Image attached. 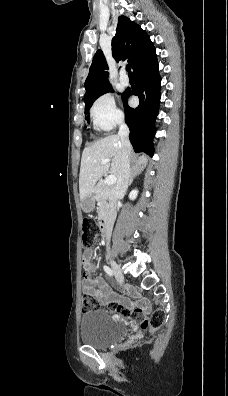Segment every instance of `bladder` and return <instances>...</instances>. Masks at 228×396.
Returning <instances> with one entry per match:
<instances>
[{
  "instance_id": "1",
  "label": "bladder",
  "mask_w": 228,
  "mask_h": 396,
  "mask_svg": "<svg viewBox=\"0 0 228 396\" xmlns=\"http://www.w3.org/2000/svg\"><path fill=\"white\" fill-rule=\"evenodd\" d=\"M129 329L120 321L113 320L105 310L96 309L85 313L80 321V338L86 345L106 348L124 339Z\"/></svg>"
}]
</instances>
